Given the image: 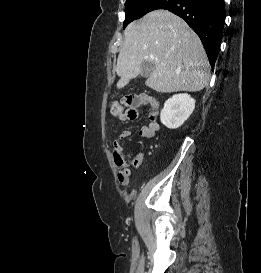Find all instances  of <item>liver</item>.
I'll use <instances>...</instances> for the list:
<instances>
[{"label":"liver","mask_w":261,"mask_h":273,"mask_svg":"<svg viewBox=\"0 0 261 273\" xmlns=\"http://www.w3.org/2000/svg\"><path fill=\"white\" fill-rule=\"evenodd\" d=\"M117 59V88L141 73V64H154L146 86L160 92H197L210 79L209 62L196 33L167 10H155L130 23Z\"/></svg>","instance_id":"1"}]
</instances>
